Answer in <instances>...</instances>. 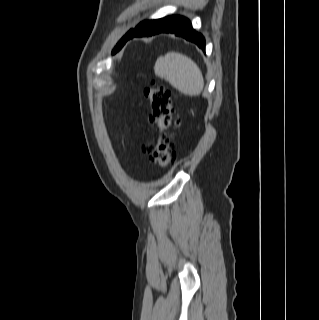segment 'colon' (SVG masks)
<instances>
[{"label": "colon", "instance_id": "1", "mask_svg": "<svg viewBox=\"0 0 319 320\" xmlns=\"http://www.w3.org/2000/svg\"><path fill=\"white\" fill-rule=\"evenodd\" d=\"M144 94L152 108L151 125L154 133L153 141L144 146V152L154 166L165 168L173 158L172 129L179 125L171 93L151 81Z\"/></svg>", "mask_w": 319, "mask_h": 320}]
</instances>
